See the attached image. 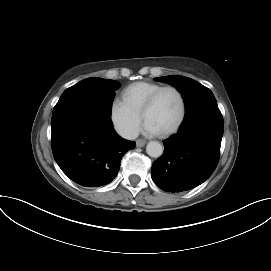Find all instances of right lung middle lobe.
I'll return each mask as SVG.
<instances>
[{
	"label": "right lung middle lobe",
	"mask_w": 271,
	"mask_h": 271,
	"mask_svg": "<svg viewBox=\"0 0 271 271\" xmlns=\"http://www.w3.org/2000/svg\"><path fill=\"white\" fill-rule=\"evenodd\" d=\"M120 84L114 80L87 78L69 87L53 109L52 120L63 115L93 108L110 112L115 91Z\"/></svg>",
	"instance_id": "right-lung-middle-lobe-1"
}]
</instances>
